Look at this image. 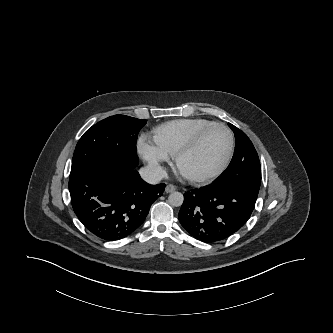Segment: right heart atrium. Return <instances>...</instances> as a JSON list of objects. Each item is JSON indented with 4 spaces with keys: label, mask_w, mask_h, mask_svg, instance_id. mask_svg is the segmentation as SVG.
<instances>
[{
    "label": "right heart atrium",
    "mask_w": 333,
    "mask_h": 333,
    "mask_svg": "<svg viewBox=\"0 0 333 333\" xmlns=\"http://www.w3.org/2000/svg\"><path fill=\"white\" fill-rule=\"evenodd\" d=\"M138 151L155 174L161 175L163 173V163L169 158L166 153L145 137L139 140Z\"/></svg>",
    "instance_id": "obj_1"
}]
</instances>
